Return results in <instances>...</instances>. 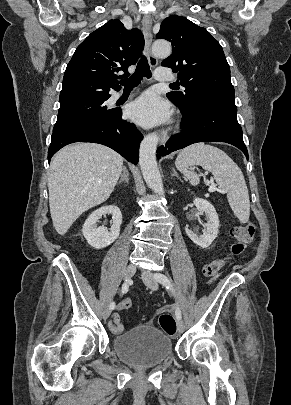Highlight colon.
I'll use <instances>...</instances> for the list:
<instances>
[{
	"instance_id": "colon-1",
	"label": "colon",
	"mask_w": 291,
	"mask_h": 405,
	"mask_svg": "<svg viewBox=\"0 0 291 405\" xmlns=\"http://www.w3.org/2000/svg\"><path fill=\"white\" fill-rule=\"evenodd\" d=\"M255 228L251 224L238 225L231 229V236L234 241L230 246L229 252L222 258L211 261L203 267V274L208 278H214L218 275L221 268L231 259L240 256L247 249L253 240ZM130 298H124L119 303V308L124 311L131 307ZM161 328L169 335H174L177 330L176 321L169 313H162L159 317Z\"/></svg>"
}]
</instances>
